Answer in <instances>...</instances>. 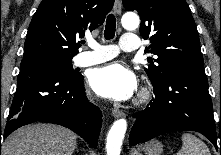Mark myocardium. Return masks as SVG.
<instances>
[{"label":"myocardium","mask_w":221,"mask_h":155,"mask_svg":"<svg viewBox=\"0 0 221 155\" xmlns=\"http://www.w3.org/2000/svg\"><path fill=\"white\" fill-rule=\"evenodd\" d=\"M148 98H149V91L147 89H142L141 92L139 93L138 102L142 103L146 101Z\"/></svg>","instance_id":"f54148a6"}]
</instances>
